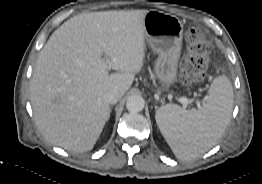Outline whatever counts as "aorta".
Masks as SVG:
<instances>
[{"label": "aorta", "instance_id": "obj_1", "mask_svg": "<svg viewBox=\"0 0 262 184\" xmlns=\"http://www.w3.org/2000/svg\"><path fill=\"white\" fill-rule=\"evenodd\" d=\"M145 101L139 95H132L126 101V108L130 112H140L144 109Z\"/></svg>", "mask_w": 262, "mask_h": 184}]
</instances>
